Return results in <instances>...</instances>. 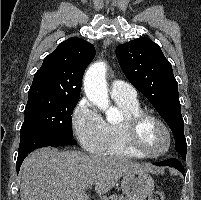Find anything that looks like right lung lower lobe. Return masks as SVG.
<instances>
[{"label":"right lung lower lobe","mask_w":201,"mask_h":200,"mask_svg":"<svg viewBox=\"0 0 201 200\" xmlns=\"http://www.w3.org/2000/svg\"><path fill=\"white\" fill-rule=\"evenodd\" d=\"M69 144H77V142L73 138L48 131L35 130L20 134V145L16 163L17 174L23 160L33 150L45 146L58 147Z\"/></svg>","instance_id":"obj_1"}]
</instances>
